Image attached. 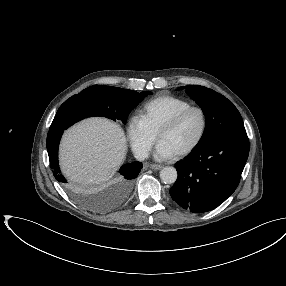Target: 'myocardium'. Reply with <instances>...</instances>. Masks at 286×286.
I'll use <instances>...</instances> for the list:
<instances>
[{"label": "myocardium", "instance_id": "f54148a6", "mask_svg": "<svg viewBox=\"0 0 286 286\" xmlns=\"http://www.w3.org/2000/svg\"><path fill=\"white\" fill-rule=\"evenodd\" d=\"M193 111H197L201 116V119H202L201 130H200L197 138L195 139V141L191 145H189L185 149H183V150H181L175 154L177 157L185 156V155L192 153L194 150H196L198 148V146L203 141V139L206 135V132H207V128H208V117H207L206 111L200 106L191 105V106L179 111L175 115H173L170 119H168L160 127V129L157 132V139L160 140V138L164 132L174 128L175 126H177L189 113H191Z\"/></svg>", "mask_w": 286, "mask_h": 286}]
</instances>
